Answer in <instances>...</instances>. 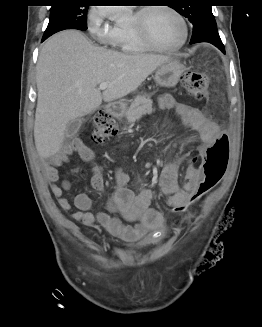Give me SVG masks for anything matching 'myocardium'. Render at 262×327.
Returning a JSON list of instances; mask_svg holds the SVG:
<instances>
[{
    "label": "myocardium",
    "instance_id": "1",
    "mask_svg": "<svg viewBox=\"0 0 262 327\" xmlns=\"http://www.w3.org/2000/svg\"><path fill=\"white\" fill-rule=\"evenodd\" d=\"M154 9H165L171 12L173 15H175L177 19L180 21L183 28V36L178 44L173 46H163L156 43L153 40V38L147 31L146 24H145V17L149 11H152ZM130 27L133 30V32L137 35V37L142 41L143 44H145L151 50H155V51L171 52V51L179 50L186 44L189 36L188 24L184 16L176 8L167 4L141 7L139 10L135 12Z\"/></svg>",
    "mask_w": 262,
    "mask_h": 327
}]
</instances>
